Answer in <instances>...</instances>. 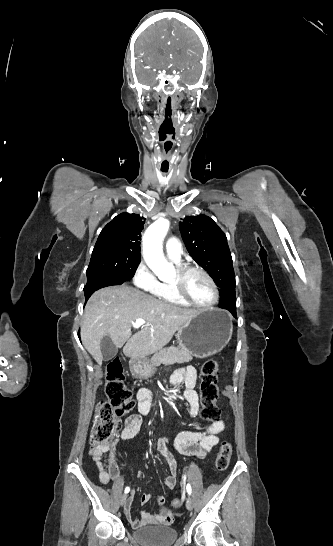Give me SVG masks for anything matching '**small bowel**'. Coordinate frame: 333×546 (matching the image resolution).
I'll use <instances>...</instances> for the list:
<instances>
[{
  "label": "small bowel",
  "mask_w": 333,
  "mask_h": 546,
  "mask_svg": "<svg viewBox=\"0 0 333 546\" xmlns=\"http://www.w3.org/2000/svg\"><path fill=\"white\" fill-rule=\"evenodd\" d=\"M197 380L196 370L192 366H187L175 371L171 376L172 384H184V398L188 403V414L194 417L198 413L199 403L195 391ZM138 413L130 415L124 424L120 438L123 441L132 439L140 431L143 424V416L148 415L152 409L153 394L149 388H140L136 394ZM222 419L214 421L205 430H184L180 432L172 441L162 438L157 442L158 454L168 464L170 475L165 479V486L172 490L177 483L178 465L169 454L167 448L171 445L177 453L184 456H195L204 458L211 449L219 443V435L224 430ZM107 454L106 464L103 457ZM91 458L97 469L101 483L108 484L120 477V469L117 465L114 447L112 445L96 446L90 451ZM132 491L131 497L124 505V514L133 528H140L147 525H169L174 519L173 512L166 510L160 513H149L142 511L140 518L132 516L131 508L133 503ZM154 500L159 506H162L164 499L162 497H153L144 493L140 497L141 504H147Z\"/></svg>",
  "instance_id": "1"
}]
</instances>
